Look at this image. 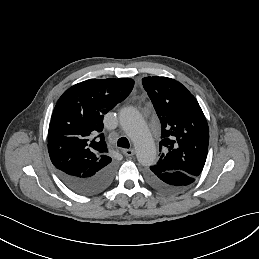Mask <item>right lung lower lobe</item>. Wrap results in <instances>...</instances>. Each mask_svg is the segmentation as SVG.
<instances>
[{"label":"right lung lower lobe","mask_w":259,"mask_h":259,"mask_svg":"<svg viewBox=\"0 0 259 259\" xmlns=\"http://www.w3.org/2000/svg\"><path fill=\"white\" fill-rule=\"evenodd\" d=\"M114 172V163H110L105 168L87 177L69 175L57 170L58 176L66 186L72 191L84 195L98 194L107 189L113 179Z\"/></svg>","instance_id":"98d812e1"}]
</instances>
